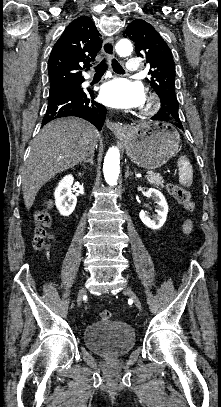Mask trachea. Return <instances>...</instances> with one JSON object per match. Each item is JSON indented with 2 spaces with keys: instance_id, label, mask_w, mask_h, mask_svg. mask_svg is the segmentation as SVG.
Listing matches in <instances>:
<instances>
[{
  "instance_id": "3493384b",
  "label": "trachea",
  "mask_w": 221,
  "mask_h": 407,
  "mask_svg": "<svg viewBox=\"0 0 221 407\" xmlns=\"http://www.w3.org/2000/svg\"><path fill=\"white\" fill-rule=\"evenodd\" d=\"M111 63H112L113 70H114L116 73H119V74L124 73V69L122 68V66H121L115 59H112V60H111ZM106 70H107V60L104 59V60L95 68V72H96L95 75H103Z\"/></svg>"
}]
</instances>
